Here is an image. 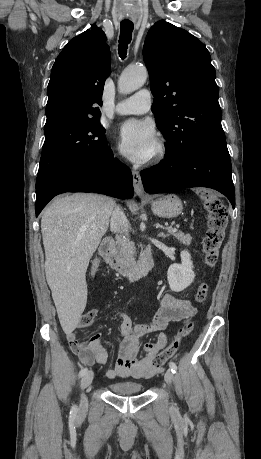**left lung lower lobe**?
<instances>
[{
	"label": "left lung lower lobe",
	"mask_w": 261,
	"mask_h": 459,
	"mask_svg": "<svg viewBox=\"0 0 261 459\" xmlns=\"http://www.w3.org/2000/svg\"><path fill=\"white\" fill-rule=\"evenodd\" d=\"M147 193H167L189 187H208L224 194L235 207L230 155L226 142L200 146L182 158L164 160L141 172Z\"/></svg>",
	"instance_id": "1"
}]
</instances>
